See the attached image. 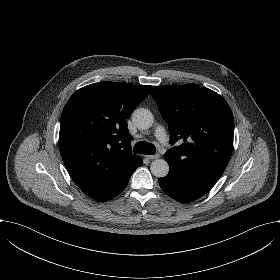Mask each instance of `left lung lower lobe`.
<instances>
[{"label":"left lung lower lobe","instance_id":"0a47b994","mask_svg":"<svg viewBox=\"0 0 280 280\" xmlns=\"http://www.w3.org/2000/svg\"><path fill=\"white\" fill-rule=\"evenodd\" d=\"M218 179L205 175L186 176L170 168L166 177L159 179L162 190L181 203H189L205 195Z\"/></svg>","mask_w":280,"mask_h":280}]
</instances>
